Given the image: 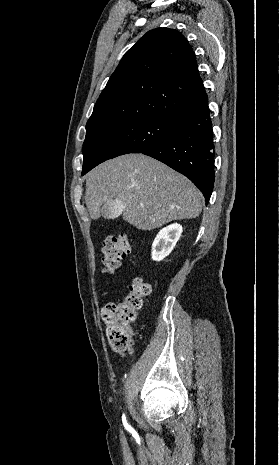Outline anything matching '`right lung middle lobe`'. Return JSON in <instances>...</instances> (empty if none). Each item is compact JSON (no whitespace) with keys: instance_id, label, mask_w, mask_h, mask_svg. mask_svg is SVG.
Listing matches in <instances>:
<instances>
[{"instance_id":"1","label":"right lung middle lobe","mask_w":279,"mask_h":465,"mask_svg":"<svg viewBox=\"0 0 279 465\" xmlns=\"http://www.w3.org/2000/svg\"><path fill=\"white\" fill-rule=\"evenodd\" d=\"M174 124L160 118H132L87 129L82 175L107 159L141 153L163 139Z\"/></svg>"}]
</instances>
